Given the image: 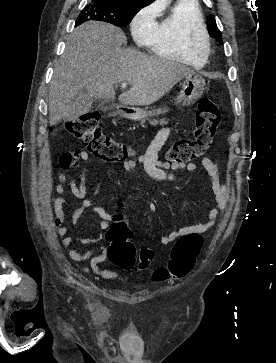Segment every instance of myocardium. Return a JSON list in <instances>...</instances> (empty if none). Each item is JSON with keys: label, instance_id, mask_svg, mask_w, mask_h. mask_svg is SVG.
Here are the masks:
<instances>
[{"label": "myocardium", "instance_id": "myocardium-1", "mask_svg": "<svg viewBox=\"0 0 276 363\" xmlns=\"http://www.w3.org/2000/svg\"><path fill=\"white\" fill-rule=\"evenodd\" d=\"M188 44L191 51L204 58H207L211 52L210 37L206 30H191L188 36Z\"/></svg>", "mask_w": 276, "mask_h": 363}]
</instances>
